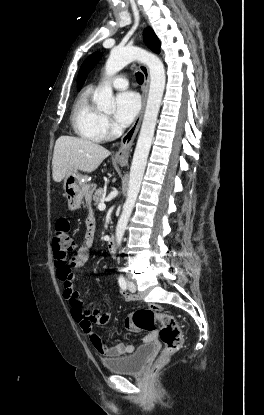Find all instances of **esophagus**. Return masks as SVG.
Masks as SVG:
<instances>
[{
    "label": "esophagus",
    "mask_w": 264,
    "mask_h": 415,
    "mask_svg": "<svg viewBox=\"0 0 264 415\" xmlns=\"http://www.w3.org/2000/svg\"><path fill=\"white\" fill-rule=\"evenodd\" d=\"M139 67H140V71L142 72L144 76V83L142 86V106H141L140 112L135 117L129 130L122 136L121 142H120V148L118 149V151L115 153L113 157L114 161H117L121 164L128 163L129 155L132 150V145L139 131L142 118H143V114H144V110H145V106H146V101H147V94H148L149 84H150L149 70H148V67L144 64H140Z\"/></svg>",
    "instance_id": "obj_1"
}]
</instances>
